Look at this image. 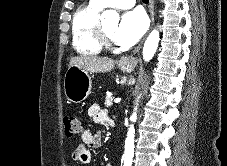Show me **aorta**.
<instances>
[{
    "instance_id": "obj_1",
    "label": "aorta",
    "mask_w": 227,
    "mask_h": 166,
    "mask_svg": "<svg viewBox=\"0 0 227 166\" xmlns=\"http://www.w3.org/2000/svg\"><path fill=\"white\" fill-rule=\"evenodd\" d=\"M101 19L107 21H119V14L114 10H106L102 13ZM159 31L154 29L147 37L144 47H143V59L144 61H150L158 47L159 43ZM137 107L134 108L130 120L135 122L137 119ZM134 126L131 125L127 134V139L125 142V153H124V166H131L133 155H134Z\"/></svg>"
}]
</instances>
